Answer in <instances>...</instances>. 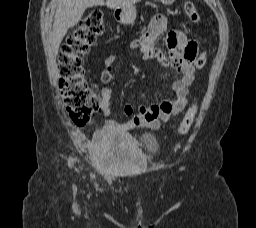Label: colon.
<instances>
[{"label": "colon", "instance_id": "1", "mask_svg": "<svg viewBox=\"0 0 256 228\" xmlns=\"http://www.w3.org/2000/svg\"><path fill=\"white\" fill-rule=\"evenodd\" d=\"M184 10L193 22L199 20V14L191 1L185 2ZM103 30L102 13L97 10L90 12L66 40L58 57L61 95L71 119L76 123H86L101 107L100 99L85 79L83 58ZM206 59V53L197 55L194 66L202 68ZM196 111V104H192L178 125L179 135L188 133Z\"/></svg>", "mask_w": 256, "mask_h": 228}]
</instances>
